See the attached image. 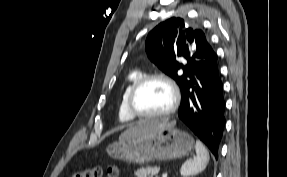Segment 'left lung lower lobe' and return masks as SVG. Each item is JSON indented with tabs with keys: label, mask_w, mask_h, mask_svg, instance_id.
<instances>
[{
	"label": "left lung lower lobe",
	"mask_w": 287,
	"mask_h": 177,
	"mask_svg": "<svg viewBox=\"0 0 287 177\" xmlns=\"http://www.w3.org/2000/svg\"><path fill=\"white\" fill-rule=\"evenodd\" d=\"M179 118L202 140L218 158V148L225 125L223 85L212 50L181 88Z\"/></svg>",
	"instance_id": "left-lung-lower-lobe-1"
}]
</instances>
